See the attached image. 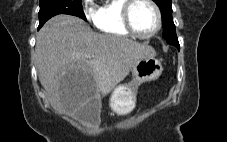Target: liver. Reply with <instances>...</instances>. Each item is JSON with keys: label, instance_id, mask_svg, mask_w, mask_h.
Instances as JSON below:
<instances>
[{"label": "liver", "instance_id": "liver-1", "mask_svg": "<svg viewBox=\"0 0 227 142\" xmlns=\"http://www.w3.org/2000/svg\"><path fill=\"white\" fill-rule=\"evenodd\" d=\"M36 40L39 81L54 108L70 115L90 100L109 94L139 60L156 56L151 46L123 36L98 34L71 15L48 20ZM65 68H78L88 78L60 81V76L67 75Z\"/></svg>", "mask_w": 227, "mask_h": 142}]
</instances>
